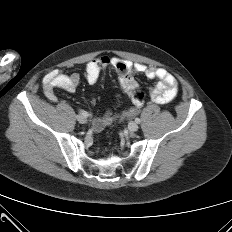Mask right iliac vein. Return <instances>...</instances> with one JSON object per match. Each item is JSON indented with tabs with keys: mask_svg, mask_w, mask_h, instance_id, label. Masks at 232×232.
<instances>
[{
	"mask_svg": "<svg viewBox=\"0 0 232 232\" xmlns=\"http://www.w3.org/2000/svg\"><path fill=\"white\" fill-rule=\"evenodd\" d=\"M77 120H78V122L79 123H81V124H84V123H86L87 122V119H86V117L85 116H83V115H77Z\"/></svg>",
	"mask_w": 232,
	"mask_h": 232,
	"instance_id": "obj_1",
	"label": "right iliac vein"
}]
</instances>
